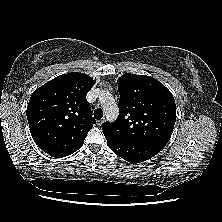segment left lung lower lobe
I'll list each match as a JSON object with an SVG mask.
<instances>
[{
    "instance_id": "left-lung-lower-lobe-1",
    "label": "left lung lower lobe",
    "mask_w": 222,
    "mask_h": 222,
    "mask_svg": "<svg viewBox=\"0 0 222 222\" xmlns=\"http://www.w3.org/2000/svg\"><path fill=\"white\" fill-rule=\"evenodd\" d=\"M110 149L119 157L131 163L146 161L158 154L165 146L148 142H127L104 133Z\"/></svg>"
}]
</instances>
